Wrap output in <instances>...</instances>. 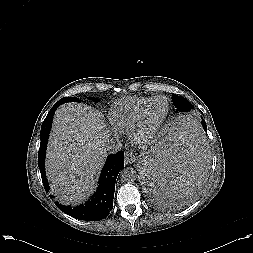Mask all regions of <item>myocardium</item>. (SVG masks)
Segmentation results:
<instances>
[{
  "label": "myocardium",
  "instance_id": "f54148a6",
  "mask_svg": "<svg viewBox=\"0 0 253 253\" xmlns=\"http://www.w3.org/2000/svg\"><path fill=\"white\" fill-rule=\"evenodd\" d=\"M159 98H163L166 100L167 110L164 116L158 122L154 124H149L148 119H147L149 108L153 104V102ZM169 113H170V103L165 96L157 95L155 97H152L142 108L140 115L138 117V120L132 130V135L137 139H146L148 137L153 136L159 131V129L166 122L169 116Z\"/></svg>",
  "mask_w": 253,
  "mask_h": 253
}]
</instances>
